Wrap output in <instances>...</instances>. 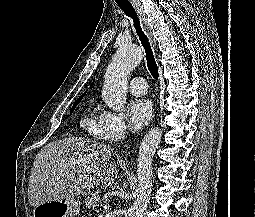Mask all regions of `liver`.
Instances as JSON below:
<instances>
[{
  "label": "liver",
  "mask_w": 255,
  "mask_h": 217,
  "mask_svg": "<svg viewBox=\"0 0 255 217\" xmlns=\"http://www.w3.org/2000/svg\"><path fill=\"white\" fill-rule=\"evenodd\" d=\"M112 150L104 143L86 138L51 142L37 154L28 184L31 206L71 199L102 184L114 183L118 169L110 162Z\"/></svg>",
  "instance_id": "6515ba94"
}]
</instances>
